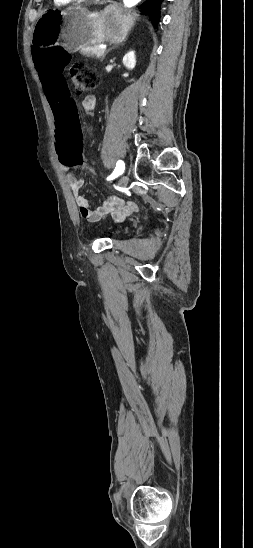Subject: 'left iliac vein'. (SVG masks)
Returning <instances> with one entry per match:
<instances>
[{
	"label": "left iliac vein",
	"mask_w": 253,
	"mask_h": 548,
	"mask_svg": "<svg viewBox=\"0 0 253 548\" xmlns=\"http://www.w3.org/2000/svg\"><path fill=\"white\" fill-rule=\"evenodd\" d=\"M128 182H129V177L124 175L120 178L118 184L120 187H126L128 185Z\"/></svg>",
	"instance_id": "1"
}]
</instances>
